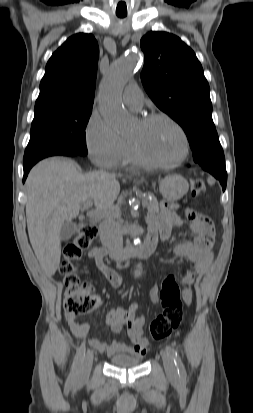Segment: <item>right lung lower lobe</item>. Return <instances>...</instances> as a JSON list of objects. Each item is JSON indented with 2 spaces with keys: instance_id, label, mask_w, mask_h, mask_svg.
Instances as JSON below:
<instances>
[{
  "instance_id": "98d812e1",
  "label": "right lung lower lobe",
  "mask_w": 253,
  "mask_h": 413,
  "mask_svg": "<svg viewBox=\"0 0 253 413\" xmlns=\"http://www.w3.org/2000/svg\"><path fill=\"white\" fill-rule=\"evenodd\" d=\"M63 156H78L79 154L76 153H65L62 154ZM41 159L38 160H33V161H29V162H25L23 165V169H24V177H23V182L25 181L30 169L32 168L33 165H35L38 161H40Z\"/></svg>"
}]
</instances>
